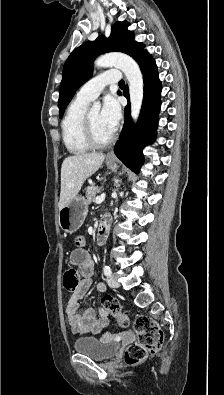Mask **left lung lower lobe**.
<instances>
[{
	"label": "left lung lower lobe",
	"mask_w": 224,
	"mask_h": 395,
	"mask_svg": "<svg viewBox=\"0 0 224 395\" xmlns=\"http://www.w3.org/2000/svg\"><path fill=\"white\" fill-rule=\"evenodd\" d=\"M143 73L144 99L138 121L134 128L130 117V104L125 107V124L121 138L114 148L116 156L132 171L138 173L143 163L141 153L144 144L154 141L158 125V114L161 106V83L158 78L155 60L143 49L134 58ZM124 96L129 100L128 89Z\"/></svg>",
	"instance_id": "1"
}]
</instances>
